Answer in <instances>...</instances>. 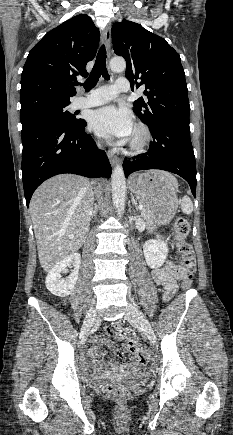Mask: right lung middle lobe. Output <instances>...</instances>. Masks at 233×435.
Returning a JSON list of instances; mask_svg holds the SVG:
<instances>
[{
  "instance_id": "obj_1",
  "label": "right lung middle lobe",
  "mask_w": 233,
  "mask_h": 435,
  "mask_svg": "<svg viewBox=\"0 0 233 435\" xmlns=\"http://www.w3.org/2000/svg\"><path fill=\"white\" fill-rule=\"evenodd\" d=\"M67 105L48 107L35 112L21 116L22 131L25 133L45 124H61L66 126H76L81 119L75 118L74 115L66 110Z\"/></svg>"
}]
</instances>
